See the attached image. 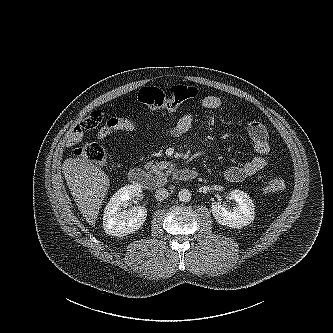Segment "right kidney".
Segmentation results:
<instances>
[{
	"mask_svg": "<svg viewBox=\"0 0 333 333\" xmlns=\"http://www.w3.org/2000/svg\"><path fill=\"white\" fill-rule=\"evenodd\" d=\"M141 192L139 185H127L120 188L110 199L104 209L103 227L107 234L123 237L137 231L145 222L147 210L145 207H134L122 210L127 201Z\"/></svg>",
	"mask_w": 333,
	"mask_h": 333,
	"instance_id": "ca27d5eb",
	"label": "right kidney"
}]
</instances>
